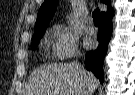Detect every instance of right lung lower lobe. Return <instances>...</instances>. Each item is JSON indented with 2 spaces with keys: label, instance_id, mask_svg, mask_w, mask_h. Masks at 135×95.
Returning a JSON list of instances; mask_svg holds the SVG:
<instances>
[{
  "label": "right lung lower lobe",
  "instance_id": "98d812e1",
  "mask_svg": "<svg viewBox=\"0 0 135 95\" xmlns=\"http://www.w3.org/2000/svg\"><path fill=\"white\" fill-rule=\"evenodd\" d=\"M112 35V21L111 17L101 18V26L98 30L97 40L99 46L94 51H89L85 56V67L87 70L94 73V75L103 82V61L107 52L108 43Z\"/></svg>",
  "mask_w": 135,
  "mask_h": 95
}]
</instances>
